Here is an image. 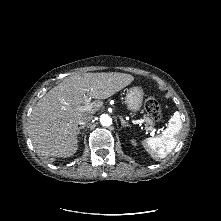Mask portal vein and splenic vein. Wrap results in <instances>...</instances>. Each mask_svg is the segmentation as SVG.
<instances>
[{"label":"portal vein and splenic vein","mask_w":221,"mask_h":221,"mask_svg":"<svg viewBox=\"0 0 221 221\" xmlns=\"http://www.w3.org/2000/svg\"><path fill=\"white\" fill-rule=\"evenodd\" d=\"M92 108H93V103H91L89 101L88 97H85L84 105L81 107V110L90 111ZM143 122H144L143 119L133 120L134 124H140L141 125ZM152 134H154V132Z\"/></svg>","instance_id":"obj_1"}]
</instances>
